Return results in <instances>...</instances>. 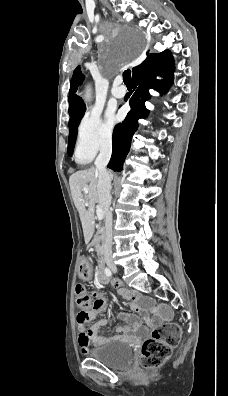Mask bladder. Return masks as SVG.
I'll use <instances>...</instances> for the list:
<instances>
[{
    "mask_svg": "<svg viewBox=\"0 0 228 396\" xmlns=\"http://www.w3.org/2000/svg\"><path fill=\"white\" fill-rule=\"evenodd\" d=\"M87 355L111 368H125L133 361V350L125 340H112L90 348Z\"/></svg>",
    "mask_w": 228,
    "mask_h": 396,
    "instance_id": "bladder-1",
    "label": "bladder"
}]
</instances>
